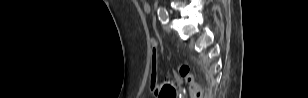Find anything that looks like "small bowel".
Segmentation results:
<instances>
[{"mask_svg":"<svg viewBox=\"0 0 308 98\" xmlns=\"http://www.w3.org/2000/svg\"><path fill=\"white\" fill-rule=\"evenodd\" d=\"M142 9L145 13H150L151 12V5L149 1L147 0H142L141 1ZM174 85V84H173Z\"/></svg>","mask_w":308,"mask_h":98,"instance_id":"small-bowel-1","label":"small bowel"}]
</instances>
